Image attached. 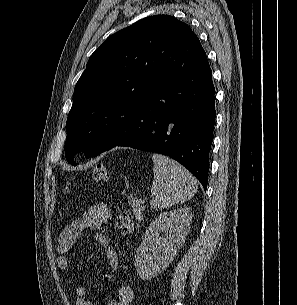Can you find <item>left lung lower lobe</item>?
I'll use <instances>...</instances> for the list:
<instances>
[{"label":"left lung lower lobe","mask_w":297,"mask_h":305,"mask_svg":"<svg viewBox=\"0 0 297 305\" xmlns=\"http://www.w3.org/2000/svg\"><path fill=\"white\" fill-rule=\"evenodd\" d=\"M215 115V88L208 65L155 89L129 117L123 134L102 152L132 147L167 155L185 166L206 190Z\"/></svg>","instance_id":"obj_1"}]
</instances>
